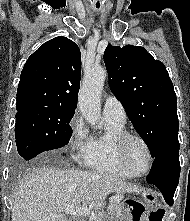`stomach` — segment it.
Segmentation results:
<instances>
[{
	"instance_id": "stomach-1",
	"label": "stomach",
	"mask_w": 190,
	"mask_h": 221,
	"mask_svg": "<svg viewBox=\"0 0 190 221\" xmlns=\"http://www.w3.org/2000/svg\"><path fill=\"white\" fill-rule=\"evenodd\" d=\"M119 205L126 213L127 217L145 218H124L123 215L110 216L105 221H166V218H146V217H168V212H163V205L157 204L155 194L145 192L140 194V200H119Z\"/></svg>"
}]
</instances>
